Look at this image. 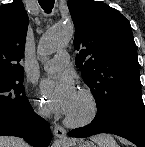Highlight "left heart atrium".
<instances>
[{"mask_svg": "<svg viewBox=\"0 0 145 147\" xmlns=\"http://www.w3.org/2000/svg\"><path fill=\"white\" fill-rule=\"evenodd\" d=\"M41 93L48 107L62 115H68L71 112L78 96L74 80L68 75L56 80H44L41 83Z\"/></svg>", "mask_w": 145, "mask_h": 147, "instance_id": "obj_1", "label": "left heart atrium"}]
</instances>
